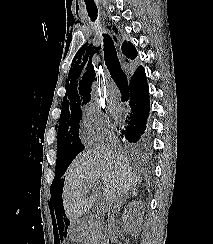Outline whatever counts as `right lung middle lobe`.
<instances>
[{"label": "right lung middle lobe", "mask_w": 213, "mask_h": 244, "mask_svg": "<svg viewBox=\"0 0 213 244\" xmlns=\"http://www.w3.org/2000/svg\"><path fill=\"white\" fill-rule=\"evenodd\" d=\"M81 114V106L72 107L61 114L57 134L58 151L53 183L57 181V177L59 180L72 160L84 149L78 133Z\"/></svg>", "instance_id": "dd1d6c3e"}]
</instances>
